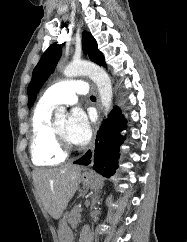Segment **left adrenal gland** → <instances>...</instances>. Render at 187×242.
<instances>
[{
  "mask_svg": "<svg viewBox=\"0 0 187 242\" xmlns=\"http://www.w3.org/2000/svg\"><path fill=\"white\" fill-rule=\"evenodd\" d=\"M99 193H100V191H97V192H95L94 194H93V196H92V204H91V208H93L94 206H95V204L99 201Z\"/></svg>",
  "mask_w": 187,
  "mask_h": 242,
  "instance_id": "1",
  "label": "left adrenal gland"
}]
</instances>
